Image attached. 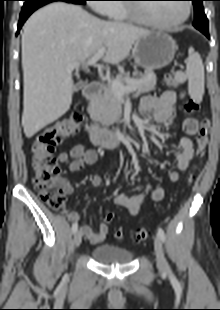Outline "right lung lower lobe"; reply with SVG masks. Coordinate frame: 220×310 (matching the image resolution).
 Instances as JSON below:
<instances>
[{
	"label": "right lung lower lobe",
	"instance_id": "obj_1",
	"mask_svg": "<svg viewBox=\"0 0 220 310\" xmlns=\"http://www.w3.org/2000/svg\"><path fill=\"white\" fill-rule=\"evenodd\" d=\"M53 1H65V2H68V3H74V4H84V2H82L81 0H44V1H41V2L31 3V4L24 3V5L22 7L21 14H20V18H19L17 33H19V31H20L22 25L24 24V22L26 21V19L36 9L46 5L47 3L53 2Z\"/></svg>",
	"mask_w": 220,
	"mask_h": 310
}]
</instances>
